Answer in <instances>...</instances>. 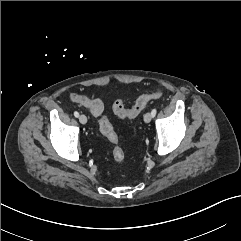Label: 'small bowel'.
<instances>
[{
    "label": "small bowel",
    "mask_w": 241,
    "mask_h": 241,
    "mask_svg": "<svg viewBox=\"0 0 241 241\" xmlns=\"http://www.w3.org/2000/svg\"><path fill=\"white\" fill-rule=\"evenodd\" d=\"M71 100L82 107L87 108L95 117H99L103 110V102L98 98H89L81 94H73Z\"/></svg>",
    "instance_id": "c3829d8e"
}]
</instances>
